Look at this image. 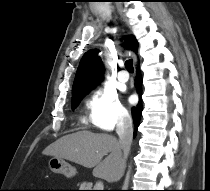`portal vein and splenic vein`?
<instances>
[{
    "instance_id": "obj_1",
    "label": "portal vein and splenic vein",
    "mask_w": 210,
    "mask_h": 191,
    "mask_svg": "<svg viewBox=\"0 0 210 191\" xmlns=\"http://www.w3.org/2000/svg\"><path fill=\"white\" fill-rule=\"evenodd\" d=\"M95 190H103V183L102 182H97L96 185L94 186Z\"/></svg>"
}]
</instances>
